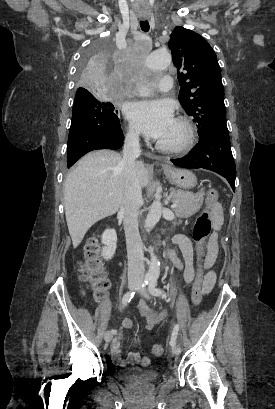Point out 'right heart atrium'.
<instances>
[{"label": "right heart atrium", "instance_id": "right-heart-atrium-1", "mask_svg": "<svg viewBox=\"0 0 275 409\" xmlns=\"http://www.w3.org/2000/svg\"><path fill=\"white\" fill-rule=\"evenodd\" d=\"M139 136H140V132H139L138 127L134 123L129 122L126 127L127 140L130 142H135V141H138Z\"/></svg>", "mask_w": 275, "mask_h": 409}]
</instances>
